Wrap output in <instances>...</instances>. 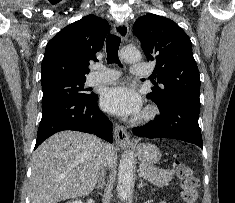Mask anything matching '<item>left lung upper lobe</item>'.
<instances>
[{
	"label": "left lung upper lobe",
	"instance_id": "5c2ea615",
	"mask_svg": "<svg viewBox=\"0 0 235 203\" xmlns=\"http://www.w3.org/2000/svg\"><path fill=\"white\" fill-rule=\"evenodd\" d=\"M133 30L148 61H156L153 74L164 85L153 87L147 97L157 105L177 97L199 99V71L187 34L174 21L151 13L139 17Z\"/></svg>",
	"mask_w": 235,
	"mask_h": 203
}]
</instances>
